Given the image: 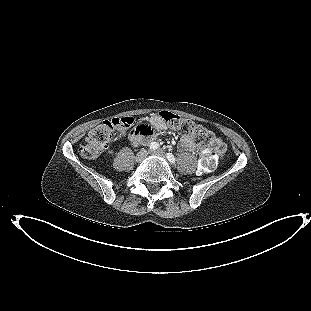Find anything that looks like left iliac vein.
<instances>
[{
  "label": "left iliac vein",
  "mask_w": 311,
  "mask_h": 311,
  "mask_svg": "<svg viewBox=\"0 0 311 311\" xmlns=\"http://www.w3.org/2000/svg\"><path fill=\"white\" fill-rule=\"evenodd\" d=\"M150 154L159 156L161 158H166V154L163 150L150 151Z\"/></svg>",
  "instance_id": "4c4485c4"
}]
</instances>
